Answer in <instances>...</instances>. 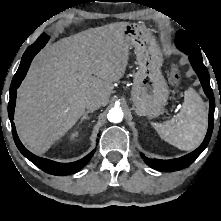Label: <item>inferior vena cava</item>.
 Listing matches in <instances>:
<instances>
[{"label":"inferior vena cava","mask_w":221,"mask_h":221,"mask_svg":"<svg viewBox=\"0 0 221 221\" xmlns=\"http://www.w3.org/2000/svg\"><path fill=\"white\" fill-rule=\"evenodd\" d=\"M86 108L88 110H97L101 106V100L99 98L93 97L86 101Z\"/></svg>","instance_id":"obj_1"}]
</instances>
